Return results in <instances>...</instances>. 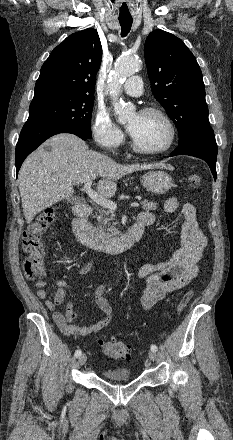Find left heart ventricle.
Masks as SVG:
<instances>
[{"label":"left heart ventricle","mask_w":233,"mask_h":440,"mask_svg":"<svg viewBox=\"0 0 233 440\" xmlns=\"http://www.w3.org/2000/svg\"><path fill=\"white\" fill-rule=\"evenodd\" d=\"M128 127L136 142L148 150L162 148L169 138L166 123L157 115H133L128 121Z\"/></svg>","instance_id":"left-heart-ventricle-1"}]
</instances>
